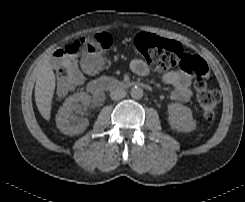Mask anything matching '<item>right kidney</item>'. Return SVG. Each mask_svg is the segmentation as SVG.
I'll return each mask as SVG.
<instances>
[{"label": "right kidney", "instance_id": "ca27d5eb", "mask_svg": "<svg viewBox=\"0 0 245 202\" xmlns=\"http://www.w3.org/2000/svg\"><path fill=\"white\" fill-rule=\"evenodd\" d=\"M90 102V96L85 92H80L68 97L58 110L56 115V125L58 129L66 135H79L86 130L89 125L87 118L80 117L82 106L86 107Z\"/></svg>", "mask_w": 245, "mask_h": 202}]
</instances>
